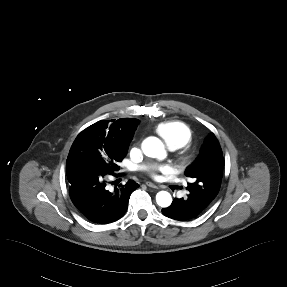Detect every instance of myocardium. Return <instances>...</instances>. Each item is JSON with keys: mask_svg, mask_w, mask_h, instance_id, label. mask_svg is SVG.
Segmentation results:
<instances>
[{"mask_svg": "<svg viewBox=\"0 0 287 287\" xmlns=\"http://www.w3.org/2000/svg\"><path fill=\"white\" fill-rule=\"evenodd\" d=\"M192 158V153L188 149H184L178 156V161L182 167H185L192 161Z\"/></svg>", "mask_w": 287, "mask_h": 287, "instance_id": "myocardium-1", "label": "myocardium"}]
</instances>
